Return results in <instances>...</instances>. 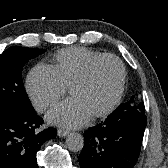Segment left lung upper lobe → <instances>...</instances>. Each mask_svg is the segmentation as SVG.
<instances>
[{"label":"left lung upper lobe","mask_w":168,"mask_h":168,"mask_svg":"<svg viewBox=\"0 0 168 168\" xmlns=\"http://www.w3.org/2000/svg\"><path fill=\"white\" fill-rule=\"evenodd\" d=\"M141 103H143V102H140V101L136 100L135 97L132 96L129 102H127V103H125V104H121V105L138 106V105H140Z\"/></svg>","instance_id":"obj_1"}]
</instances>
